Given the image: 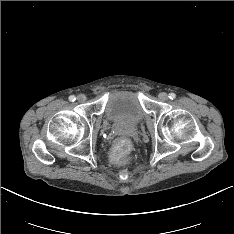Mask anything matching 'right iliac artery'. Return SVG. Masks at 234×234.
Segmentation results:
<instances>
[{
  "instance_id": "obj_1",
  "label": "right iliac artery",
  "mask_w": 234,
  "mask_h": 234,
  "mask_svg": "<svg viewBox=\"0 0 234 234\" xmlns=\"http://www.w3.org/2000/svg\"><path fill=\"white\" fill-rule=\"evenodd\" d=\"M69 100L71 102H74L76 100V97L74 95L69 96Z\"/></svg>"
}]
</instances>
